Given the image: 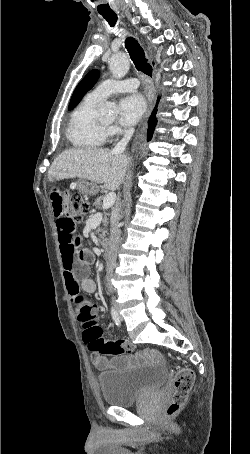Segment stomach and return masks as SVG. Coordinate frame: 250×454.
<instances>
[{"instance_id": "1", "label": "stomach", "mask_w": 250, "mask_h": 454, "mask_svg": "<svg viewBox=\"0 0 250 454\" xmlns=\"http://www.w3.org/2000/svg\"><path fill=\"white\" fill-rule=\"evenodd\" d=\"M79 190L82 193L94 195V194L97 193L98 188L92 183H89V182H86V181H82L80 183V185H79Z\"/></svg>"}]
</instances>
